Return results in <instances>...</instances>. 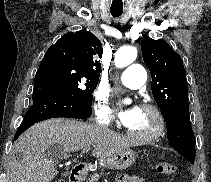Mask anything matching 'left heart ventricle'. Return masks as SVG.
Wrapping results in <instances>:
<instances>
[{"instance_id":"b2bd125f","label":"left heart ventricle","mask_w":211,"mask_h":182,"mask_svg":"<svg viewBox=\"0 0 211 182\" xmlns=\"http://www.w3.org/2000/svg\"><path fill=\"white\" fill-rule=\"evenodd\" d=\"M156 126L157 119L155 115L149 110L140 108L137 118L128 128L136 134L149 135L156 129Z\"/></svg>"}]
</instances>
